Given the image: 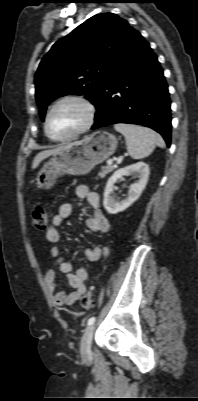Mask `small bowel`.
I'll return each instance as SVG.
<instances>
[{
    "label": "small bowel",
    "instance_id": "obj_1",
    "mask_svg": "<svg viewBox=\"0 0 198 401\" xmlns=\"http://www.w3.org/2000/svg\"><path fill=\"white\" fill-rule=\"evenodd\" d=\"M75 194L79 198H85L92 210V215L86 220V227L94 233H106L109 231L110 223L100 209V198L96 192L89 191L85 185H78ZM73 212L72 203L66 202L59 206L58 213L52 218L51 224L46 230V238L51 243H59L61 232L59 230L64 219L68 218ZM109 254L108 247L91 246L85 250V257L91 262L105 259ZM50 256L55 259V264L60 273L65 274L72 291L67 293L59 290L56 282V272L49 270L44 275L45 284L52 295L53 304L62 308L72 306L85 292L88 272L81 267L73 270L72 265L61 254L58 247H53Z\"/></svg>",
    "mask_w": 198,
    "mask_h": 401
}]
</instances>
